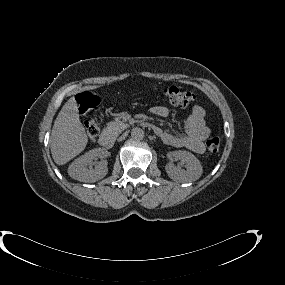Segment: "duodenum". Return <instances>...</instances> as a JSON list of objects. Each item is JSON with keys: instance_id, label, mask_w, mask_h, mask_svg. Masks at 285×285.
Segmentation results:
<instances>
[{"instance_id": "410a0bca", "label": "duodenum", "mask_w": 285, "mask_h": 285, "mask_svg": "<svg viewBox=\"0 0 285 285\" xmlns=\"http://www.w3.org/2000/svg\"><path fill=\"white\" fill-rule=\"evenodd\" d=\"M149 125V123H147ZM99 143L101 146L105 148H109L113 145V137L112 134L109 132H103L99 136Z\"/></svg>"}]
</instances>
